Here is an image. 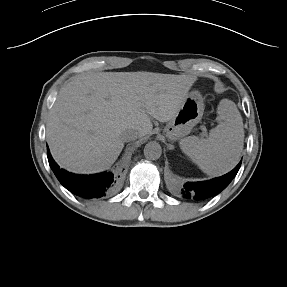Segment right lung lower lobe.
I'll return each mask as SVG.
<instances>
[{
	"mask_svg": "<svg viewBox=\"0 0 287 287\" xmlns=\"http://www.w3.org/2000/svg\"><path fill=\"white\" fill-rule=\"evenodd\" d=\"M48 161L60 183L70 192L86 198L96 200L111 194L116 187V177L111 172L95 175H75L69 173L52 159L47 150Z\"/></svg>",
	"mask_w": 287,
	"mask_h": 287,
	"instance_id": "right-lung-lower-lobe-1",
	"label": "right lung lower lobe"
}]
</instances>
